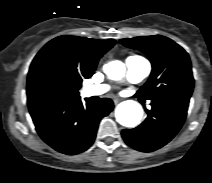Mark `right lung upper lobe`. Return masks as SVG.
Segmentation results:
<instances>
[{
    "mask_svg": "<svg viewBox=\"0 0 212 183\" xmlns=\"http://www.w3.org/2000/svg\"><path fill=\"white\" fill-rule=\"evenodd\" d=\"M115 40H96L86 37L63 35L48 42L33 59L27 81V101L31 105L49 98L39 88L40 78L56 72L77 86L70 98L79 97L82 80L93 75L98 60L111 49Z\"/></svg>",
    "mask_w": 212,
    "mask_h": 183,
    "instance_id": "obj_1",
    "label": "right lung upper lobe"
}]
</instances>
